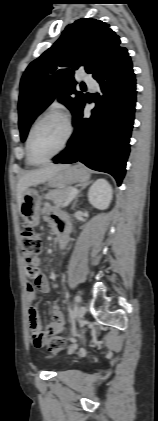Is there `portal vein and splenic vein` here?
Wrapping results in <instances>:
<instances>
[{
  "mask_svg": "<svg viewBox=\"0 0 158 421\" xmlns=\"http://www.w3.org/2000/svg\"><path fill=\"white\" fill-rule=\"evenodd\" d=\"M77 193H78V190L77 189H73L72 191H71V193H70V195H69V199H68V202L65 204V205H63V207L64 206H67L68 205V203L77 195Z\"/></svg>",
  "mask_w": 158,
  "mask_h": 421,
  "instance_id": "1",
  "label": "portal vein and splenic vein"
}]
</instances>
